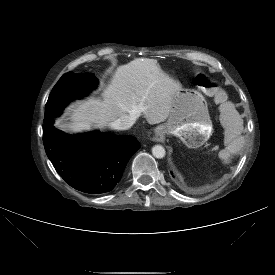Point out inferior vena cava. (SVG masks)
I'll list each match as a JSON object with an SVG mask.
<instances>
[{
    "mask_svg": "<svg viewBox=\"0 0 275 275\" xmlns=\"http://www.w3.org/2000/svg\"><path fill=\"white\" fill-rule=\"evenodd\" d=\"M136 118L132 115H122L112 122L111 127L117 130H127L133 126Z\"/></svg>",
    "mask_w": 275,
    "mask_h": 275,
    "instance_id": "inferior-vena-cava-1",
    "label": "inferior vena cava"
}]
</instances>
